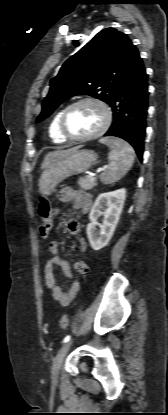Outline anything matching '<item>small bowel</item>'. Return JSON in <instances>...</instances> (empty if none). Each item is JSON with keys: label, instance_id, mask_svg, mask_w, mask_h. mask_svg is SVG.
<instances>
[{"label": "small bowel", "instance_id": "c3829d8e", "mask_svg": "<svg viewBox=\"0 0 168 415\" xmlns=\"http://www.w3.org/2000/svg\"><path fill=\"white\" fill-rule=\"evenodd\" d=\"M59 199L67 204H70L73 209H78L82 213H87L91 207L90 195L81 190H75L70 187L62 188L58 193ZM67 230L78 238L80 248L85 251L87 249L86 242L83 237L79 235L80 225L74 220H67L65 222ZM52 227V226H51ZM49 252L51 257L45 264L44 276L47 288L52 292L53 298L63 306L70 305L77 297L81 285L78 281H74L67 291H64L57 283L54 273V268L58 267L67 278H72V270L69 263L59 256V244L52 240L49 243ZM77 272L83 274L88 270V265L84 261H79L75 264Z\"/></svg>", "mask_w": 168, "mask_h": 415}]
</instances>
